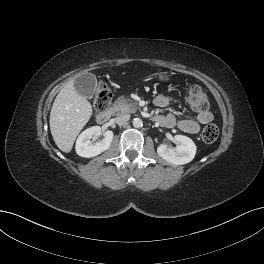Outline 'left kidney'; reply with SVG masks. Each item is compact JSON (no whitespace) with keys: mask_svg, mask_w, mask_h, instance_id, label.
I'll return each mask as SVG.
<instances>
[{"mask_svg":"<svg viewBox=\"0 0 264 264\" xmlns=\"http://www.w3.org/2000/svg\"><path fill=\"white\" fill-rule=\"evenodd\" d=\"M174 139L180 143L176 148H170L165 144L157 147L158 155L174 165H184L191 162L196 154V145L188 137L175 135Z\"/></svg>","mask_w":264,"mask_h":264,"instance_id":"5707ae66","label":"left kidney"}]
</instances>
